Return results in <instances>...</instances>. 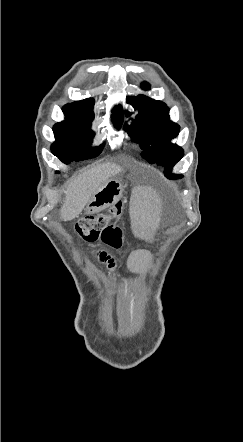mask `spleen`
I'll list each match as a JSON object with an SVG mask.
<instances>
[{
	"label": "spleen",
	"mask_w": 243,
	"mask_h": 442,
	"mask_svg": "<svg viewBox=\"0 0 243 442\" xmlns=\"http://www.w3.org/2000/svg\"><path fill=\"white\" fill-rule=\"evenodd\" d=\"M153 190L152 183H139L135 193H127V202H133L131 205L132 219H136L134 229L138 237L147 240L150 231H156L159 219L156 217L159 209V194L150 193ZM139 268H150L151 260L147 256L145 259L138 260Z\"/></svg>",
	"instance_id": "spleen-1"
}]
</instances>
